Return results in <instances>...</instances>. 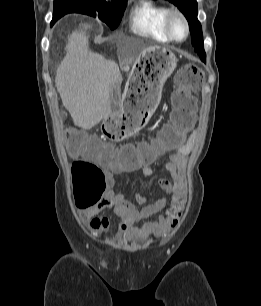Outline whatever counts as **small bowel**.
Masks as SVG:
<instances>
[{
	"instance_id": "1",
	"label": "small bowel",
	"mask_w": 261,
	"mask_h": 306,
	"mask_svg": "<svg viewBox=\"0 0 261 306\" xmlns=\"http://www.w3.org/2000/svg\"><path fill=\"white\" fill-rule=\"evenodd\" d=\"M197 140L196 133H193L186 144L166 153L168 162L165 165L167 171L171 175V179L161 178L158 185L163 192L170 196V201L166 198L158 199L152 203H147V198L137 195V205L129 201L123 194L115 193L113 187L115 184L114 174L140 171L145 176H151L153 170L150 162H139L134 165L119 164L110 166L106 172V191L101 201L93 208L81 211L79 217L81 221L86 223L94 232H100L108 228L110 220L108 217H100L98 213L106 208H113L117 216L120 218L118 230L113 237L114 241L127 240L134 241L138 239H146L150 236H160L168 233L179 223L186 192V162L187 155L195 145ZM110 147H106V158L111 159L113 151ZM164 211V215L155 219H151L158 213ZM144 221L140 227L135 224Z\"/></svg>"
}]
</instances>
